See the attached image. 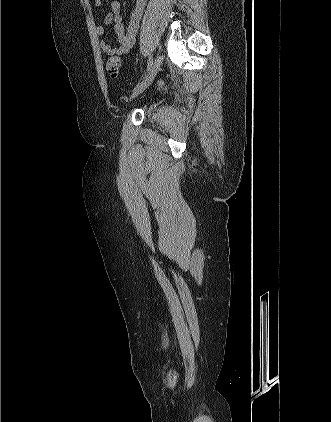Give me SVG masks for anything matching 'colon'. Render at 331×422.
<instances>
[{
  "instance_id": "colon-1",
  "label": "colon",
  "mask_w": 331,
  "mask_h": 422,
  "mask_svg": "<svg viewBox=\"0 0 331 422\" xmlns=\"http://www.w3.org/2000/svg\"><path fill=\"white\" fill-rule=\"evenodd\" d=\"M106 70L110 78H117L121 72V60L119 57L109 58L106 65Z\"/></svg>"
}]
</instances>
